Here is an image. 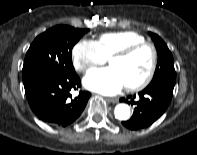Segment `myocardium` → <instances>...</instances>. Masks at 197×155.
I'll list each match as a JSON object with an SVG mask.
<instances>
[{
    "label": "myocardium",
    "instance_id": "myocardium-1",
    "mask_svg": "<svg viewBox=\"0 0 197 155\" xmlns=\"http://www.w3.org/2000/svg\"><path fill=\"white\" fill-rule=\"evenodd\" d=\"M145 48L149 49L151 52V65H150L149 71L140 82H138L136 84H132V85H126V89L130 92L140 91V90L146 88L150 84V82L152 81V79L155 75V72L157 69V63H158V53H157L155 46L149 42H146V41L141 42V43L128 45V46L114 52L109 58V63H110L114 58L128 57V56L136 53L137 51H139L141 49H145Z\"/></svg>",
    "mask_w": 197,
    "mask_h": 155
}]
</instances>
